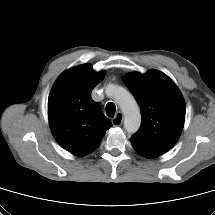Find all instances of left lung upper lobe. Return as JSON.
<instances>
[{
    "instance_id": "1",
    "label": "left lung upper lobe",
    "mask_w": 215,
    "mask_h": 215,
    "mask_svg": "<svg viewBox=\"0 0 215 215\" xmlns=\"http://www.w3.org/2000/svg\"><path fill=\"white\" fill-rule=\"evenodd\" d=\"M123 81L140 106L142 123L131 137L133 148L143 157L156 158L178 141L186 106L175 83L164 73L150 70L127 74Z\"/></svg>"
}]
</instances>
